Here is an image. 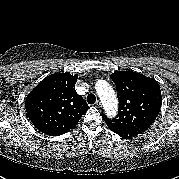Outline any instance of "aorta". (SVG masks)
<instances>
[{
	"instance_id": "1",
	"label": "aorta",
	"mask_w": 179,
	"mask_h": 179,
	"mask_svg": "<svg viewBox=\"0 0 179 179\" xmlns=\"http://www.w3.org/2000/svg\"><path fill=\"white\" fill-rule=\"evenodd\" d=\"M95 88L103 104L106 114L109 117H114L118 110V101L115 91L105 80H98Z\"/></svg>"
}]
</instances>
